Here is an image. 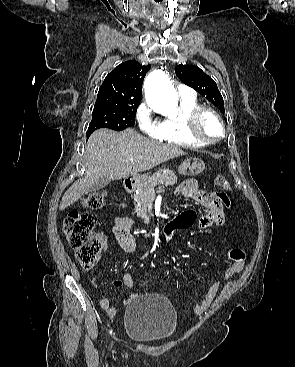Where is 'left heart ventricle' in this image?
Listing matches in <instances>:
<instances>
[{"mask_svg":"<svg viewBox=\"0 0 295 367\" xmlns=\"http://www.w3.org/2000/svg\"><path fill=\"white\" fill-rule=\"evenodd\" d=\"M202 134L210 139L216 138L221 133V127L215 117L209 113H206L200 124Z\"/></svg>","mask_w":295,"mask_h":367,"instance_id":"obj_1","label":"left heart ventricle"}]
</instances>
